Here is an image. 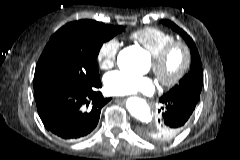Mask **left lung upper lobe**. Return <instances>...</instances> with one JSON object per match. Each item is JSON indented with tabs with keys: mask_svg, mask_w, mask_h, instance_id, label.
I'll return each instance as SVG.
<instances>
[{
	"mask_svg": "<svg viewBox=\"0 0 240 160\" xmlns=\"http://www.w3.org/2000/svg\"><path fill=\"white\" fill-rule=\"evenodd\" d=\"M162 23L178 32L187 42L191 52V69L189 73L180 80L178 85H175V87L164 95L186 97L198 102L203 84V70L195 43L184 30L170 20H162Z\"/></svg>",
	"mask_w": 240,
	"mask_h": 160,
	"instance_id": "left-lung-upper-lobe-1",
	"label": "left lung upper lobe"
}]
</instances>
